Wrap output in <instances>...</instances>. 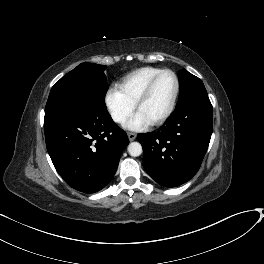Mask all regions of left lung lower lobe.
<instances>
[{"instance_id":"left-lung-lower-lobe-1","label":"left lung lower lobe","mask_w":264,"mask_h":264,"mask_svg":"<svg viewBox=\"0 0 264 264\" xmlns=\"http://www.w3.org/2000/svg\"><path fill=\"white\" fill-rule=\"evenodd\" d=\"M208 95L194 96L178 105L157 131L139 134L143 167L165 187L189 181L199 170L207 151L213 124Z\"/></svg>"}]
</instances>
